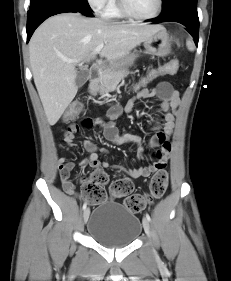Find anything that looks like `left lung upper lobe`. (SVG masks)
<instances>
[{
	"instance_id": "left-lung-upper-lobe-1",
	"label": "left lung upper lobe",
	"mask_w": 231,
	"mask_h": 281,
	"mask_svg": "<svg viewBox=\"0 0 231 281\" xmlns=\"http://www.w3.org/2000/svg\"><path fill=\"white\" fill-rule=\"evenodd\" d=\"M174 0H163V6L170 4Z\"/></svg>"
}]
</instances>
